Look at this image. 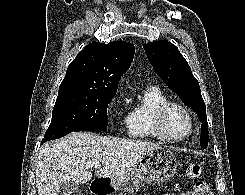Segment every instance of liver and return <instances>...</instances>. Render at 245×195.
Segmentation results:
<instances>
[{"label":"liver","mask_w":245,"mask_h":195,"mask_svg":"<svg viewBox=\"0 0 245 195\" xmlns=\"http://www.w3.org/2000/svg\"><path fill=\"white\" fill-rule=\"evenodd\" d=\"M161 149L159 144L86 132H73L39 150L36 162L38 195H58L63 183L83 184L92 178L91 168L100 178H114L135 166L147 151Z\"/></svg>","instance_id":"6515ba94"}]
</instances>
